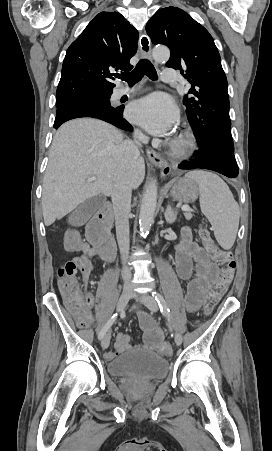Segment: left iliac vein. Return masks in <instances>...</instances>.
<instances>
[{
    "instance_id": "1",
    "label": "left iliac vein",
    "mask_w": 272,
    "mask_h": 451,
    "mask_svg": "<svg viewBox=\"0 0 272 451\" xmlns=\"http://www.w3.org/2000/svg\"><path fill=\"white\" fill-rule=\"evenodd\" d=\"M135 298L142 302L149 310L153 312H156L158 310V303L154 297L148 294H144L142 296L135 294ZM174 341L175 344L179 346L182 343V336L179 333H176Z\"/></svg>"
}]
</instances>
